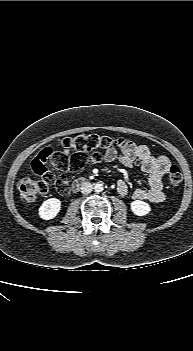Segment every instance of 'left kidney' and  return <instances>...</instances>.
<instances>
[{
    "label": "left kidney",
    "instance_id": "left-kidney-1",
    "mask_svg": "<svg viewBox=\"0 0 193 351\" xmlns=\"http://www.w3.org/2000/svg\"><path fill=\"white\" fill-rule=\"evenodd\" d=\"M130 206L132 212L137 216H145L151 211L150 205L141 200L133 201Z\"/></svg>",
    "mask_w": 193,
    "mask_h": 351
}]
</instances>
